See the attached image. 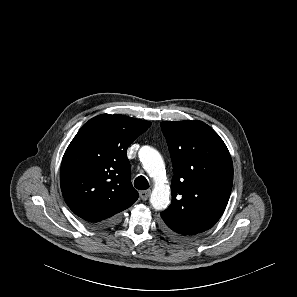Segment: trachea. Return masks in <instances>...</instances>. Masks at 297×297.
<instances>
[{"label":"trachea","mask_w":297,"mask_h":297,"mask_svg":"<svg viewBox=\"0 0 297 297\" xmlns=\"http://www.w3.org/2000/svg\"><path fill=\"white\" fill-rule=\"evenodd\" d=\"M134 186L138 190H146L149 188V183L144 176H138L134 181Z\"/></svg>","instance_id":"1"}]
</instances>
